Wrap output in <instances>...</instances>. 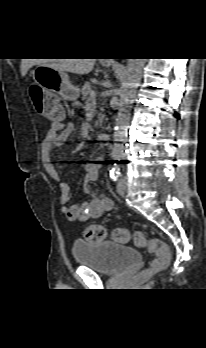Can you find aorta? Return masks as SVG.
Segmentation results:
<instances>
[{"label":"aorta","instance_id":"aorta-1","mask_svg":"<svg viewBox=\"0 0 206 348\" xmlns=\"http://www.w3.org/2000/svg\"><path fill=\"white\" fill-rule=\"evenodd\" d=\"M146 59H128L126 72L120 88V106L115 122L114 144L112 153L114 158L124 156V141L130 119V104L136 97Z\"/></svg>","mask_w":206,"mask_h":348}]
</instances>
